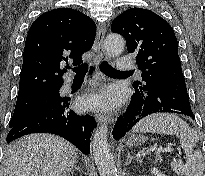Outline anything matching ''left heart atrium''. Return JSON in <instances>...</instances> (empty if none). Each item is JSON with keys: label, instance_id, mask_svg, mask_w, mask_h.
<instances>
[{"label": "left heart atrium", "instance_id": "obj_1", "mask_svg": "<svg viewBox=\"0 0 205 176\" xmlns=\"http://www.w3.org/2000/svg\"><path fill=\"white\" fill-rule=\"evenodd\" d=\"M118 100V92L115 90H110L100 95H89L83 98L80 104L87 108H95L98 106H111L118 102Z\"/></svg>", "mask_w": 205, "mask_h": 176}]
</instances>
